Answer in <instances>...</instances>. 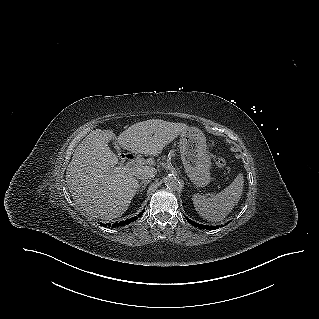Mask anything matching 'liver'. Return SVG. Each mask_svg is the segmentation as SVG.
Returning <instances> with one entry per match:
<instances>
[{
	"label": "liver",
	"instance_id": "1",
	"mask_svg": "<svg viewBox=\"0 0 319 319\" xmlns=\"http://www.w3.org/2000/svg\"><path fill=\"white\" fill-rule=\"evenodd\" d=\"M189 129L184 123L152 119L133 124L118 137L113 130L91 131L76 147L66 171V182L75 203L95 218L109 220L122 216L138 188L134 176L139 170L155 169L154 162L148 160L147 165L131 168L118 164L109 141L118 150L121 147L155 156Z\"/></svg>",
	"mask_w": 319,
	"mask_h": 319
}]
</instances>
